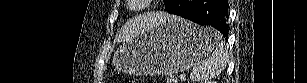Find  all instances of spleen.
<instances>
[{
	"instance_id": "3e777b00",
	"label": "spleen",
	"mask_w": 307,
	"mask_h": 83,
	"mask_svg": "<svg viewBox=\"0 0 307 83\" xmlns=\"http://www.w3.org/2000/svg\"><path fill=\"white\" fill-rule=\"evenodd\" d=\"M208 38L213 41L214 51L206 60L196 62L190 78L193 82L208 83L225 69L228 63V52L221 35L214 29L208 28Z\"/></svg>"
}]
</instances>
